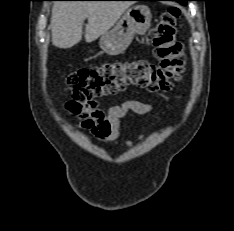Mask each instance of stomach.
<instances>
[{
  "label": "stomach",
  "mask_w": 234,
  "mask_h": 231,
  "mask_svg": "<svg viewBox=\"0 0 234 231\" xmlns=\"http://www.w3.org/2000/svg\"><path fill=\"white\" fill-rule=\"evenodd\" d=\"M151 11L145 5L129 7L118 23L101 35L99 45L108 55H118L125 51L136 34L143 35L151 25Z\"/></svg>",
  "instance_id": "obj_1"
}]
</instances>
